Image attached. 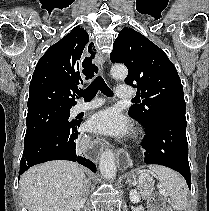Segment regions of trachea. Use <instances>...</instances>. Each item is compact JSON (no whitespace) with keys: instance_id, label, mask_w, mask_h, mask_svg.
Returning a JSON list of instances; mask_svg holds the SVG:
<instances>
[{"instance_id":"1","label":"trachea","mask_w":209,"mask_h":211,"mask_svg":"<svg viewBox=\"0 0 209 211\" xmlns=\"http://www.w3.org/2000/svg\"><path fill=\"white\" fill-rule=\"evenodd\" d=\"M98 90H100L104 95H113V92L106 85L104 79L101 76H98L85 90L78 92V95L83 97L85 101H90L96 96Z\"/></svg>"}]
</instances>
